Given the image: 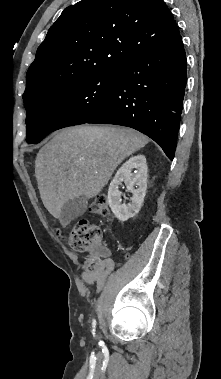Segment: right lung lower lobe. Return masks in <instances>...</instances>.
<instances>
[{"instance_id":"98d812e1","label":"right lung lower lobe","mask_w":221,"mask_h":379,"mask_svg":"<svg viewBox=\"0 0 221 379\" xmlns=\"http://www.w3.org/2000/svg\"><path fill=\"white\" fill-rule=\"evenodd\" d=\"M186 76V55L178 34L120 66L110 100L84 123L134 128L158 143L173 160Z\"/></svg>"}]
</instances>
